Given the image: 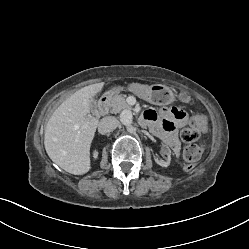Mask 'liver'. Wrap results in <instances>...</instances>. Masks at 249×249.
Wrapping results in <instances>:
<instances>
[{
	"mask_svg": "<svg viewBox=\"0 0 249 249\" xmlns=\"http://www.w3.org/2000/svg\"><path fill=\"white\" fill-rule=\"evenodd\" d=\"M104 83L86 86L67 98L50 117L44 135V146L50 159L74 175L90 168V147L99 120L90 117L91 102Z\"/></svg>",
	"mask_w": 249,
	"mask_h": 249,
	"instance_id": "liver-1",
	"label": "liver"
}]
</instances>
